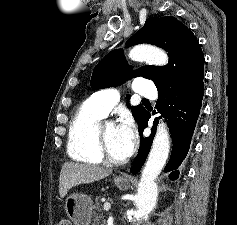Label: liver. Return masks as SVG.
<instances>
[{
  "label": "liver",
  "mask_w": 237,
  "mask_h": 225,
  "mask_svg": "<svg viewBox=\"0 0 237 225\" xmlns=\"http://www.w3.org/2000/svg\"><path fill=\"white\" fill-rule=\"evenodd\" d=\"M112 173V170L89 164L66 162L62 165L59 178V194L64 198L67 192L80 184L101 180Z\"/></svg>",
  "instance_id": "liver-1"
}]
</instances>
